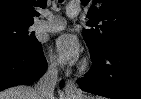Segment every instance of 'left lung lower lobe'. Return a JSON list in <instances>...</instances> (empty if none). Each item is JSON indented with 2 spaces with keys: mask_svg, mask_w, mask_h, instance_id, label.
Segmentation results:
<instances>
[{
  "mask_svg": "<svg viewBox=\"0 0 141 99\" xmlns=\"http://www.w3.org/2000/svg\"><path fill=\"white\" fill-rule=\"evenodd\" d=\"M91 58L90 71L77 80L82 90L112 99H141V45L113 44Z\"/></svg>",
  "mask_w": 141,
  "mask_h": 99,
  "instance_id": "0a47b994",
  "label": "left lung lower lobe"
}]
</instances>
